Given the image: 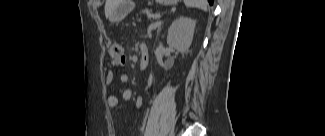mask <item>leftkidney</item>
<instances>
[{"label": "left kidney", "mask_w": 325, "mask_h": 136, "mask_svg": "<svg viewBox=\"0 0 325 136\" xmlns=\"http://www.w3.org/2000/svg\"><path fill=\"white\" fill-rule=\"evenodd\" d=\"M196 21L189 17H179L168 29L167 44L181 53H187L192 43Z\"/></svg>", "instance_id": "obj_1"}]
</instances>
